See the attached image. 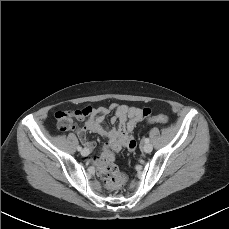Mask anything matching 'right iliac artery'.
<instances>
[{
  "label": "right iliac artery",
  "mask_w": 229,
  "mask_h": 229,
  "mask_svg": "<svg viewBox=\"0 0 229 229\" xmlns=\"http://www.w3.org/2000/svg\"><path fill=\"white\" fill-rule=\"evenodd\" d=\"M77 150H78V151H81V150H82V147H81V146H78V147H77Z\"/></svg>",
  "instance_id": "obj_1"
}]
</instances>
